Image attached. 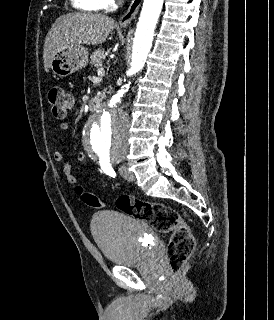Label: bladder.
I'll return each instance as SVG.
<instances>
[{"label": "bladder", "mask_w": 274, "mask_h": 320, "mask_svg": "<svg viewBox=\"0 0 274 320\" xmlns=\"http://www.w3.org/2000/svg\"><path fill=\"white\" fill-rule=\"evenodd\" d=\"M90 230L98 249L113 265L145 263L158 248L159 238L150 224L116 212L95 213Z\"/></svg>", "instance_id": "31cf9c89"}]
</instances>
